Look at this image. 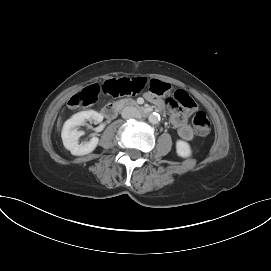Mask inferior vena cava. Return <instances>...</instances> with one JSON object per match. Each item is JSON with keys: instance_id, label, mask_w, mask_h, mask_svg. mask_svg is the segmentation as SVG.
I'll return each instance as SVG.
<instances>
[{"instance_id": "inferior-vena-cava-1", "label": "inferior vena cava", "mask_w": 271, "mask_h": 271, "mask_svg": "<svg viewBox=\"0 0 271 271\" xmlns=\"http://www.w3.org/2000/svg\"><path fill=\"white\" fill-rule=\"evenodd\" d=\"M121 115L125 119H128V118H140L141 117L139 111L135 107H132V106L125 107L122 110Z\"/></svg>"}]
</instances>
